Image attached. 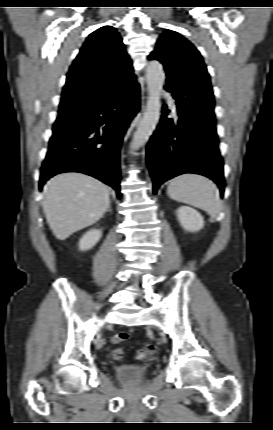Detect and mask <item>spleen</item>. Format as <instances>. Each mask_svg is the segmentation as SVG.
Instances as JSON below:
<instances>
[{
    "mask_svg": "<svg viewBox=\"0 0 273 430\" xmlns=\"http://www.w3.org/2000/svg\"><path fill=\"white\" fill-rule=\"evenodd\" d=\"M167 193L171 199L205 210L211 216H217L221 212L216 185L202 175L184 173L173 178Z\"/></svg>",
    "mask_w": 273,
    "mask_h": 430,
    "instance_id": "obj_1",
    "label": "spleen"
}]
</instances>
